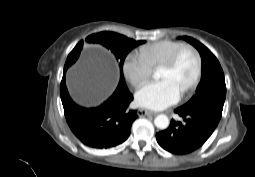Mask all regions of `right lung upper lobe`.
<instances>
[{
	"label": "right lung upper lobe",
	"mask_w": 255,
	"mask_h": 177,
	"mask_svg": "<svg viewBox=\"0 0 255 177\" xmlns=\"http://www.w3.org/2000/svg\"><path fill=\"white\" fill-rule=\"evenodd\" d=\"M81 42V41H80ZM79 42V43H80ZM79 43L76 45V47L72 50V52L70 53L72 56H74V54H75V51L79 48ZM65 68V67H64ZM68 68V67H67ZM66 68V69H67Z\"/></svg>",
	"instance_id": "obj_1"
}]
</instances>
